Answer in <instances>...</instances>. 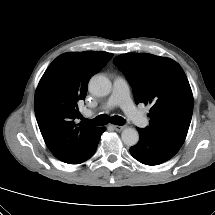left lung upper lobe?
Returning a JSON list of instances; mask_svg holds the SVG:
<instances>
[{
	"label": "left lung upper lobe",
	"mask_w": 215,
	"mask_h": 215,
	"mask_svg": "<svg viewBox=\"0 0 215 215\" xmlns=\"http://www.w3.org/2000/svg\"><path fill=\"white\" fill-rule=\"evenodd\" d=\"M113 62L128 79L135 103L151 105L147 129L180 148L193 112V94L180 65L146 53L122 54Z\"/></svg>",
	"instance_id": "1"
}]
</instances>
